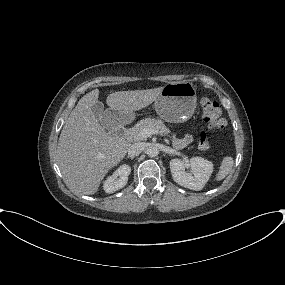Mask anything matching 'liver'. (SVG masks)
Instances as JSON below:
<instances>
[{
	"mask_svg": "<svg viewBox=\"0 0 285 285\" xmlns=\"http://www.w3.org/2000/svg\"><path fill=\"white\" fill-rule=\"evenodd\" d=\"M163 87L147 90L118 91L106 99L110 109L131 113L146 108L160 95ZM99 90L84 95L70 113L61 131L57 161L67 184L75 191L93 195L108 171L126 155L129 142L109 135L92 112Z\"/></svg>",
	"mask_w": 285,
	"mask_h": 285,
	"instance_id": "6515ba94",
	"label": "liver"
}]
</instances>
